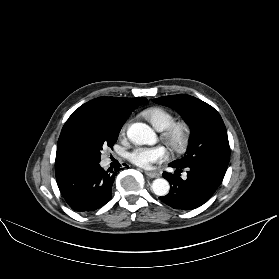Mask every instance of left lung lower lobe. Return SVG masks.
Listing matches in <instances>:
<instances>
[{"instance_id": "0a47b994", "label": "left lung lower lobe", "mask_w": 279, "mask_h": 279, "mask_svg": "<svg viewBox=\"0 0 279 279\" xmlns=\"http://www.w3.org/2000/svg\"><path fill=\"white\" fill-rule=\"evenodd\" d=\"M176 168L175 174L163 173V177L170 182V192L159 197L162 202L174 209H195L203 205L214 194L221 184L224 175L208 165L193 164L184 167L187 170V179L182 180L179 176L182 169Z\"/></svg>"}]
</instances>
